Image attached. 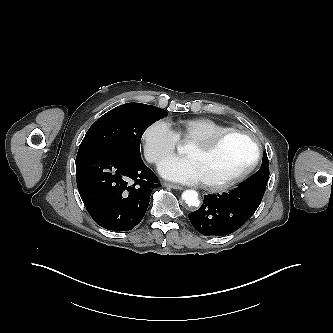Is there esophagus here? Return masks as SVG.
I'll list each match as a JSON object with an SVG mask.
<instances>
[{"mask_svg":"<svg viewBox=\"0 0 333 333\" xmlns=\"http://www.w3.org/2000/svg\"><path fill=\"white\" fill-rule=\"evenodd\" d=\"M163 185H164L165 187H169V188L176 189V190H182V189H183L182 186L177 185V184H173V183L165 182Z\"/></svg>","mask_w":333,"mask_h":333,"instance_id":"34e87169","label":"esophagus"}]
</instances>
